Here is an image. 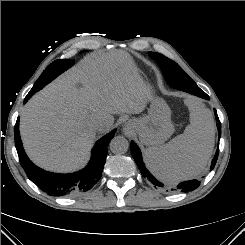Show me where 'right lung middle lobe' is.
I'll return each mask as SVG.
<instances>
[{"label":"right lung middle lobe","instance_id":"1","mask_svg":"<svg viewBox=\"0 0 245 245\" xmlns=\"http://www.w3.org/2000/svg\"><path fill=\"white\" fill-rule=\"evenodd\" d=\"M74 63V60L60 59L52 62L41 74L38 80L35 82L30 92H37L43 88L46 84L56 78L59 74L70 68Z\"/></svg>","mask_w":245,"mask_h":245}]
</instances>
